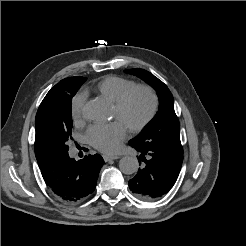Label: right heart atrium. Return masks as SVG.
Segmentation results:
<instances>
[{
	"mask_svg": "<svg viewBox=\"0 0 246 246\" xmlns=\"http://www.w3.org/2000/svg\"><path fill=\"white\" fill-rule=\"evenodd\" d=\"M86 101V93L81 91L74 95L71 100V115L77 122L83 117V110Z\"/></svg>",
	"mask_w": 246,
	"mask_h": 246,
	"instance_id": "1",
	"label": "right heart atrium"
}]
</instances>
